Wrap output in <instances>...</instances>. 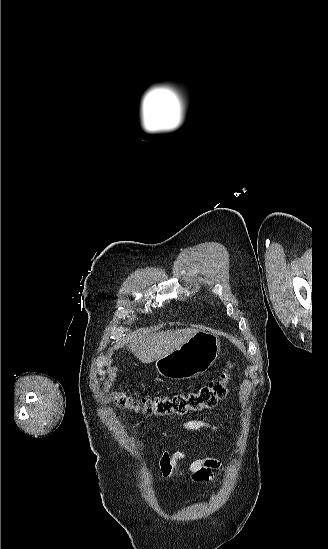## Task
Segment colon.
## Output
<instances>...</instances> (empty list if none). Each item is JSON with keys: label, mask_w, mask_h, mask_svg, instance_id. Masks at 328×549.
I'll list each match as a JSON object with an SVG mask.
<instances>
[{"label": "colon", "mask_w": 328, "mask_h": 549, "mask_svg": "<svg viewBox=\"0 0 328 549\" xmlns=\"http://www.w3.org/2000/svg\"><path fill=\"white\" fill-rule=\"evenodd\" d=\"M234 365L230 363L218 379L210 381L199 390L174 396H157L134 399L124 392L116 391L113 402L121 408L142 410L146 414H186L210 408L226 397Z\"/></svg>", "instance_id": "colon-1"}]
</instances>
